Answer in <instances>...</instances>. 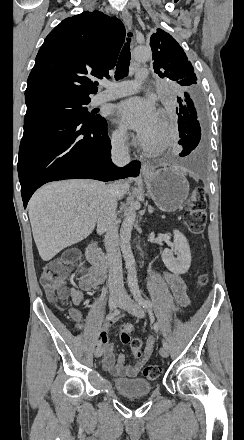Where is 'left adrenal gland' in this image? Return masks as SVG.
<instances>
[{
    "label": "left adrenal gland",
    "mask_w": 244,
    "mask_h": 440,
    "mask_svg": "<svg viewBox=\"0 0 244 440\" xmlns=\"http://www.w3.org/2000/svg\"><path fill=\"white\" fill-rule=\"evenodd\" d=\"M153 210H154V208H151V206H149V212H150V214H152Z\"/></svg>",
    "instance_id": "1"
}]
</instances>
